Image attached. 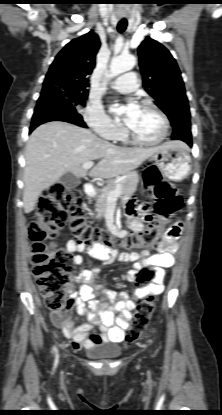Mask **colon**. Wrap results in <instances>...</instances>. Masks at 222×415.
Wrapping results in <instances>:
<instances>
[{"instance_id":"obj_1","label":"colon","mask_w":222,"mask_h":415,"mask_svg":"<svg viewBox=\"0 0 222 415\" xmlns=\"http://www.w3.org/2000/svg\"><path fill=\"white\" fill-rule=\"evenodd\" d=\"M143 181L146 191L155 199V217L148 218L151 224L146 230L123 240V245L130 250L155 247L166 234L165 222L181 205L177 189L162 180L157 167L146 166ZM62 228H68L76 243L92 251L97 248L106 249L114 242L109 232L94 226L88 220L72 190L61 183H54L42 194L35 219L29 228L32 240L31 264L45 304L53 311L64 307L74 268L73 255L68 250L54 249L51 243ZM150 278V272L142 270L137 281L144 284ZM155 308L156 299L153 296L139 300L133 322L126 334L127 345L135 342L146 330Z\"/></svg>"}]
</instances>
